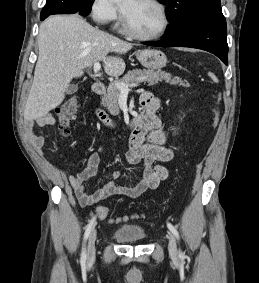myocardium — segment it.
<instances>
[{
  "label": "myocardium",
  "instance_id": "obj_1",
  "mask_svg": "<svg viewBox=\"0 0 259 283\" xmlns=\"http://www.w3.org/2000/svg\"><path fill=\"white\" fill-rule=\"evenodd\" d=\"M148 1L155 4L160 9L163 15V19H164V25L162 29L158 33L153 34V35H144V34H140L136 32L131 27L126 14L124 13L123 9L120 7L119 11H120L121 28H122V31L128 36L135 38V39H139V40H155V39H159L162 36H164L166 32L168 31V28L170 26V17H169V13H168L166 6L160 0H148Z\"/></svg>",
  "mask_w": 259,
  "mask_h": 283
}]
</instances>
